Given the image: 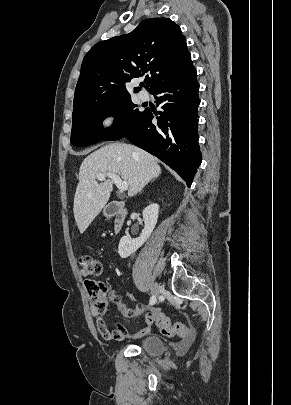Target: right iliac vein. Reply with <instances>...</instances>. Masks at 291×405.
Masks as SVG:
<instances>
[{"label":"right iliac vein","mask_w":291,"mask_h":405,"mask_svg":"<svg viewBox=\"0 0 291 405\" xmlns=\"http://www.w3.org/2000/svg\"><path fill=\"white\" fill-rule=\"evenodd\" d=\"M160 291H161V287L157 283H154L151 287L152 296L157 298L160 294Z\"/></svg>","instance_id":"right-iliac-vein-1"}]
</instances>
